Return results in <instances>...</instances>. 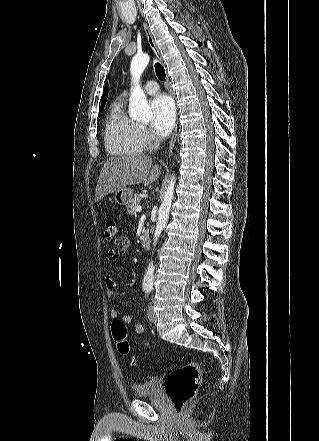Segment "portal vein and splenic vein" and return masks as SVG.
Instances as JSON below:
<instances>
[{
	"label": "portal vein and splenic vein",
	"instance_id": "1",
	"mask_svg": "<svg viewBox=\"0 0 319 441\" xmlns=\"http://www.w3.org/2000/svg\"><path fill=\"white\" fill-rule=\"evenodd\" d=\"M142 210V207L140 206V205H138L137 207H136V212H140Z\"/></svg>",
	"mask_w": 319,
	"mask_h": 441
}]
</instances>
